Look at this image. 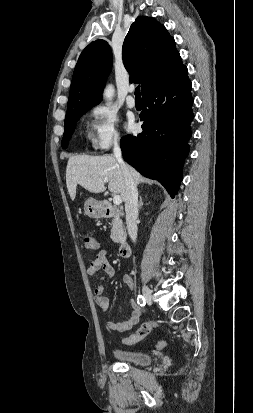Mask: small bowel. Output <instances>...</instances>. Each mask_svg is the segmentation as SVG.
<instances>
[{"mask_svg":"<svg viewBox=\"0 0 253 413\" xmlns=\"http://www.w3.org/2000/svg\"><path fill=\"white\" fill-rule=\"evenodd\" d=\"M99 271H103L105 273V277L103 278V280L112 278L115 273L114 268L107 260V255L104 250H100L97 253L96 257L90 263L87 269V273L89 276H95ZM122 281L124 285H126L128 288L131 289L133 287V279L130 275H124ZM95 302L102 313H106L109 310V300L107 296H105L103 293L102 285H99L95 289ZM131 306L132 312L128 319L121 322L107 321L105 323L106 328L111 331L122 333L130 330L134 325H136L140 319L142 311L140 307L134 302H131Z\"/></svg>","mask_w":253,"mask_h":413,"instance_id":"c3829d8e","label":"small bowel"}]
</instances>
